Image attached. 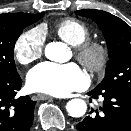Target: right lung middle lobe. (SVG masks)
<instances>
[{
	"label": "right lung middle lobe",
	"mask_w": 131,
	"mask_h": 131,
	"mask_svg": "<svg viewBox=\"0 0 131 131\" xmlns=\"http://www.w3.org/2000/svg\"><path fill=\"white\" fill-rule=\"evenodd\" d=\"M44 13L0 14V76L17 74L13 51L23 29L43 17Z\"/></svg>",
	"instance_id": "obj_1"
}]
</instances>
